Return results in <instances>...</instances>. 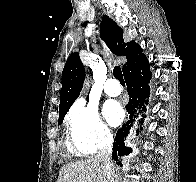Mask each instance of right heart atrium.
I'll list each match as a JSON object with an SVG mask.
<instances>
[{
  "label": "right heart atrium",
  "instance_id": "right-heart-atrium-1",
  "mask_svg": "<svg viewBox=\"0 0 196 182\" xmlns=\"http://www.w3.org/2000/svg\"><path fill=\"white\" fill-rule=\"evenodd\" d=\"M67 123L72 147L81 155L92 154L112 140L111 130L92 103L76 102L68 112Z\"/></svg>",
  "mask_w": 196,
  "mask_h": 182
}]
</instances>
